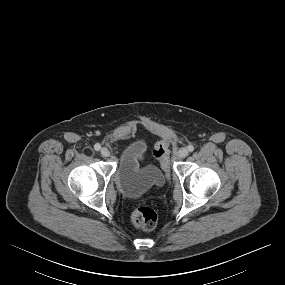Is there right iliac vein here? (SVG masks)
Segmentation results:
<instances>
[{"mask_svg":"<svg viewBox=\"0 0 285 285\" xmlns=\"http://www.w3.org/2000/svg\"><path fill=\"white\" fill-rule=\"evenodd\" d=\"M100 152H101V155L103 157H109L110 156V151L106 147H103Z\"/></svg>","mask_w":285,"mask_h":285,"instance_id":"right-iliac-vein-1","label":"right iliac vein"}]
</instances>
